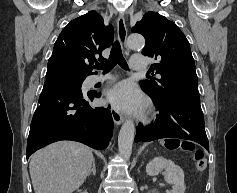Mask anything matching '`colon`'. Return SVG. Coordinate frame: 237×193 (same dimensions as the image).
<instances>
[{
	"label": "colon",
	"instance_id": "colon-1",
	"mask_svg": "<svg viewBox=\"0 0 237 193\" xmlns=\"http://www.w3.org/2000/svg\"><path fill=\"white\" fill-rule=\"evenodd\" d=\"M169 148L183 149L193 153V158L196 163V169L198 171H204L207 168V159L204 153L200 150H196L195 147L189 142H181L178 140H169L165 143Z\"/></svg>",
	"mask_w": 237,
	"mask_h": 193
}]
</instances>
